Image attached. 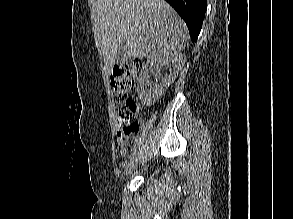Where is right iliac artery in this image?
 Listing matches in <instances>:
<instances>
[{"label":"right iliac artery","mask_w":293,"mask_h":219,"mask_svg":"<svg viewBox=\"0 0 293 219\" xmlns=\"http://www.w3.org/2000/svg\"><path fill=\"white\" fill-rule=\"evenodd\" d=\"M136 154H137V149L135 148L130 155V159L132 160L136 156Z\"/></svg>","instance_id":"right-iliac-artery-1"}]
</instances>
